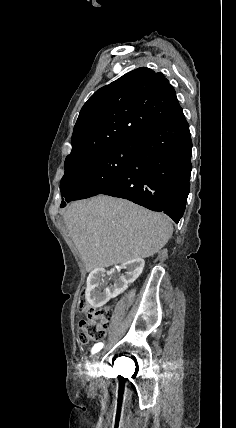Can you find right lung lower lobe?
Segmentation results:
<instances>
[{
    "instance_id": "obj_1",
    "label": "right lung lower lobe",
    "mask_w": 236,
    "mask_h": 428,
    "mask_svg": "<svg viewBox=\"0 0 236 428\" xmlns=\"http://www.w3.org/2000/svg\"><path fill=\"white\" fill-rule=\"evenodd\" d=\"M137 154L98 194L164 212L176 223L190 190L192 142L182 108L137 137Z\"/></svg>"
}]
</instances>
